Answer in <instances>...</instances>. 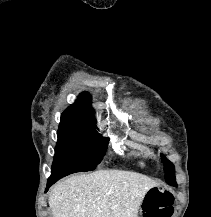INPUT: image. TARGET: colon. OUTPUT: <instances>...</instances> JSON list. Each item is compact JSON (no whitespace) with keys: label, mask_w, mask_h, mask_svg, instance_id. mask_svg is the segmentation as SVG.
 I'll return each instance as SVG.
<instances>
[{"label":"colon","mask_w":211,"mask_h":217,"mask_svg":"<svg viewBox=\"0 0 211 217\" xmlns=\"http://www.w3.org/2000/svg\"><path fill=\"white\" fill-rule=\"evenodd\" d=\"M174 198L171 193L153 188L145 199L144 217H170Z\"/></svg>","instance_id":"1"}]
</instances>
